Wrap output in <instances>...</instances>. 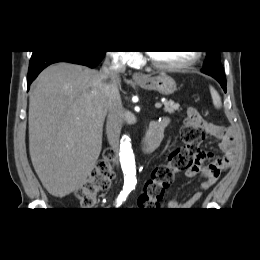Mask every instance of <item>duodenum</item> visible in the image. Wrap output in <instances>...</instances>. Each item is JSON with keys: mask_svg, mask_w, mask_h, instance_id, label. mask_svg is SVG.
<instances>
[{"mask_svg": "<svg viewBox=\"0 0 260 260\" xmlns=\"http://www.w3.org/2000/svg\"><path fill=\"white\" fill-rule=\"evenodd\" d=\"M165 127L166 123L162 120L151 121L149 129L140 143V149L143 153L149 154L160 145Z\"/></svg>", "mask_w": 260, "mask_h": 260, "instance_id": "410a0bca", "label": "duodenum"}]
</instances>
